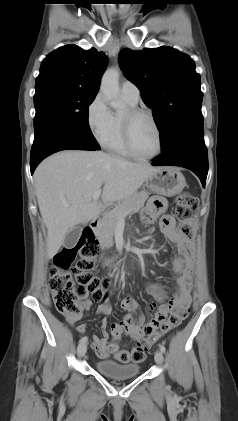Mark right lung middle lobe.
Instances as JSON below:
<instances>
[{
    "label": "right lung middle lobe",
    "mask_w": 238,
    "mask_h": 421,
    "mask_svg": "<svg viewBox=\"0 0 238 421\" xmlns=\"http://www.w3.org/2000/svg\"><path fill=\"white\" fill-rule=\"evenodd\" d=\"M34 131L47 121L58 122L85 140L98 145L88 124L89 105L96 93L60 86L35 88Z\"/></svg>",
    "instance_id": "obj_1"
}]
</instances>
